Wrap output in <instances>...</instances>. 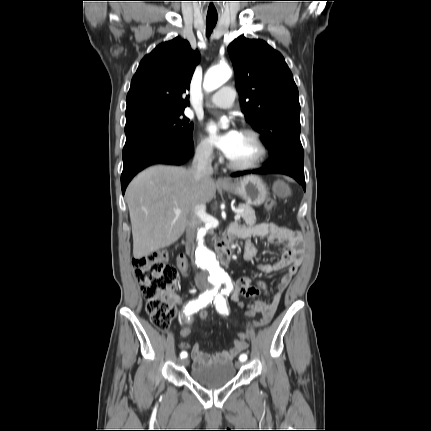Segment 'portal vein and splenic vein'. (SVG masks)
Wrapping results in <instances>:
<instances>
[{
    "instance_id": "obj_1",
    "label": "portal vein and splenic vein",
    "mask_w": 431,
    "mask_h": 431,
    "mask_svg": "<svg viewBox=\"0 0 431 431\" xmlns=\"http://www.w3.org/2000/svg\"><path fill=\"white\" fill-rule=\"evenodd\" d=\"M174 212H175V214H177V215H179L180 213H181V211L180 210H178V209H175L174 210ZM241 210H239L238 212H237V214L235 215V217H234V219L235 220H239L240 219V217H241Z\"/></svg>"
}]
</instances>
